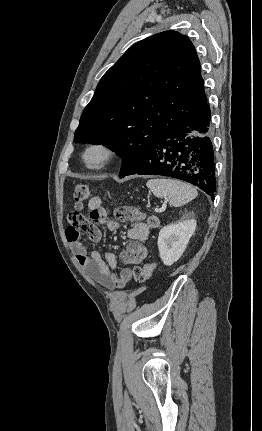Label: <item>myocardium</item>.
Returning <instances> with one entry per match:
<instances>
[{"instance_id":"myocardium-1","label":"myocardium","mask_w":262,"mask_h":431,"mask_svg":"<svg viewBox=\"0 0 262 431\" xmlns=\"http://www.w3.org/2000/svg\"><path fill=\"white\" fill-rule=\"evenodd\" d=\"M93 152H97L100 157L97 163L91 164L88 157ZM116 157L117 151L113 145L106 141H94L85 148L82 160L87 169L102 170L109 167Z\"/></svg>"}]
</instances>
